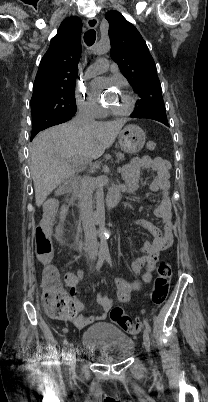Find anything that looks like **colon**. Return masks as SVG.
<instances>
[{
    "instance_id": "1",
    "label": "colon",
    "mask_w": 208,
    "mask_h": 402,
    "mask_svg": "<svg viewBox=\"0 0 208 402\" xmlns=\"http://www.w3.org/2000/svg\"><path fill=\"white\" fill-rule=\"evenodd\" d=\"M148 151L156 150V143L149 141L146 144ZM36 257L40 265H45L42 270L44 282L42 284L45 299H42V308H46L47 314H68L74 317L76 314L75 300L70 299L73 292L70 277H60L57 261L52 257L53 244L51 234L44 232L43 228L37 229ZM172 277V266L167 260H161L157 267V275L154 286L150 291L151 307L162 306L167 298L169 284ZM77 302V301H76ZM111 321L123 331L133 333L136 329L134 321L120 306H114L110 311Z\"/></svg>"
}]
</instances>
